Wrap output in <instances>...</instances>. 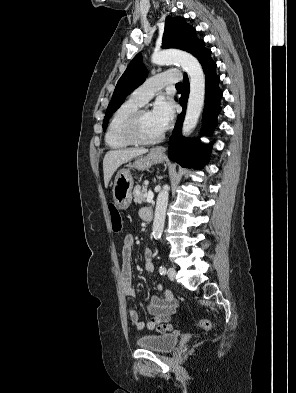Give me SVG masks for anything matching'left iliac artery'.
<instances>
[{"instance_id":"obj_1","label":"left iliac artery","mask_w":296,"mask_h":393,"mask_svg":"<svg viewBox=\"0 0 296 393\" xmlns=\"http://www.w3.org/2000/svg\"><path fill=\"white\" fill-rule=\"evenodd\" d=\"M159 272H160L161 275H165L166 272H167L166 267L165 266H160Z\"/></svg>"}]
</instances>
